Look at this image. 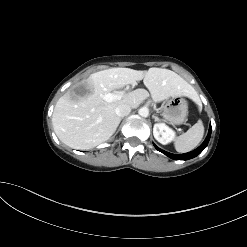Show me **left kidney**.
Segmentation results:
<instances>
[{"label": "left kidney", "instance_id": "obj_1", "mask_svg": "<svg viewBox=\"0 0 247 247\" xmlns=\"http://www.w3.org/2000/svg\"><path fill=\"white\" fill-rule=\"evenodd\" d=\"M153 135L162 145L170 143L175 138V132L164 123L154 124Z\"/></svg>", "mask_w": 247, "mask_h": 247}]
</instances>
